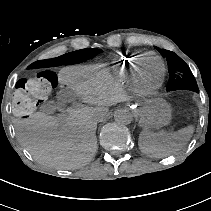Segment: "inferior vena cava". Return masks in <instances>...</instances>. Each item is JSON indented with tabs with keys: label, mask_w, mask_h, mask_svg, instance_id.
Returning <instances> with one entry per match:
<instances>
[{
	"label": "inferior vena cava",
	"mask_w": 211,
	"mask_h": 211,
	"mask_svg": "<svg viewBox=\"0 0 211 211\" xmlns=\"http://www.w3.org/2000/svg\"><path fill=\"white\" fill-rule=\"evenodd\" d=\"M100 115H102V114L101 113H98L97 114V117H96L97 118V121L101 120Z\"/></svg>",
	"instance_id": "602c4592"
}]
</instances>
